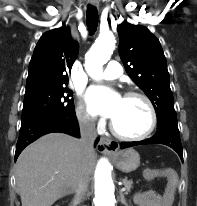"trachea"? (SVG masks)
<instances>
[{
	"label": "trachea",
	"instance_id": "1",
	"mask_svg": "<svg viewBox=\"0 0 197 206\" xmlns=\"http://www.w3.org/2000/svg\"><path fill=\"white\" fill-rule=\"evenodd\" d=\"M86 21L89 32L94 33L98 25V11L96 7L92 5L87 6Z\"/></svg>",
	"mask_w": 197,
	"mask_h": 206
}]
</instances>
